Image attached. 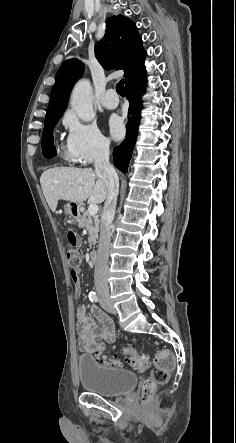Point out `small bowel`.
<instances>
[{
	"instance_id": "small-bowel-1",
	"label": "small bowel",
	"mask_w": 236,
	"mask_h": 443,
	"mask_svg": "<svg viewBox=\"0 0 236 443\" xmlns=\"http://www.w3.org/2000/svg\"><path fill=\"white\" fill-rule=\"evenodd\" d=\"M74 285V295L75 297H79L81 294L79 277L74 282ZM90 311L92 318L88 316L86 306L79 305L76 310V316L79 348L92 353L93 347L99 340L113 343L115 341V331L112 320L107 314L96 306H92ZM96 322H98L99 325Z\"/></svg>"
}]
</instances>
